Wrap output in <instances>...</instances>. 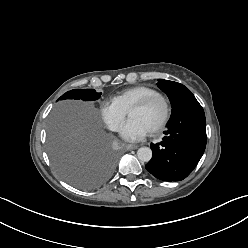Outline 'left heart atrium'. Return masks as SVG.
<instances>
[{"mask_svg":"<svg viewBox=\"0 0 248 248\" xmlns=\"http://www.w3.org/2000/svg\"><path fill=\"white\" fill-rule=\"evenodd\" d=\"M121 136L128 141H137L143 139L148 129L138 120L129 119L120 130Z\"/></svg>","mask_w":248,"mask_h":248,"instance_id":"obj_1","label":"left heart atrium"}]
</instances>
